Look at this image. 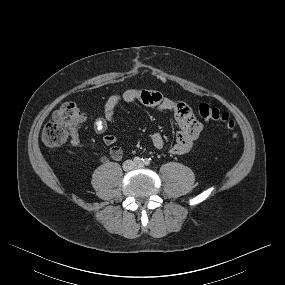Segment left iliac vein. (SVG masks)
<instances>
[{
    "label": "left iliac vein",
    "mask_w": 285,
    "mask_h": 285,
    "mask_svg": "<svg viewBox=\"0 0 285 285\" xmlns=\"http://www.w3.org/2000/svg\"><path fill=\"white\" fill-rule=\"evenodd\" d=\"M135 166H136L137 168H141V167L143 166V164L140 163V164H136Z\"/></svg>",
    "instance_id": "4c4485c4"
}]
</instances>
